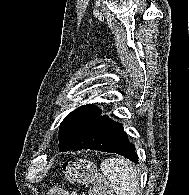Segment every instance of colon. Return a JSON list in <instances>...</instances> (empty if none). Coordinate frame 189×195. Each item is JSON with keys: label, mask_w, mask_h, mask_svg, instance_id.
Returning <instances> with one entry per match:
<instances>
[{"label": "colon", "mask_w": 189, "mask_h": 195, "mask_svg": "<svg viewBox=\"0 0 189 195\" xmlns=\"http://www.w3.org/2000/svg\"><path fill=\"white\" fill-rule=\"evenodd\" d=\"M66 180L90 186L89 195H109V185L105 177L93 170L88 159L69 161L63 164ZM49 195H71L63 188L57 187Z\"/></svg>", "instance_id": "5ec220e1"}]
</instances>
